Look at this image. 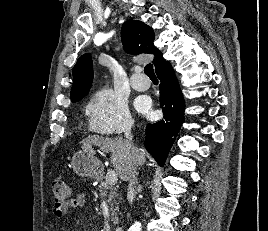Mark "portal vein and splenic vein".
Listing matches in <instances>:
<instances>
[{"label": "portal vein and splenic vein", "instance_id": "18ae733b", "mask_svg": "<svg viewBox=\"0 0 268 231\" xmlns=\"http://www.w3.org/2000/svg\"><path fill=\"white\" fill-rule=\"evenodd\" d=\"M106 180L111 184L114 185L117 183L118 178L115 170L113 169H108L107 174H106Z\"/></svg>", "mask_w": 268, "mask_h": 231}]
</instances>
